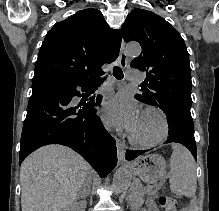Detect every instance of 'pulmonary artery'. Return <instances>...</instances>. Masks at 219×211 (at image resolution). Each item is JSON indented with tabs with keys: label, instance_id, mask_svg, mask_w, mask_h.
I'll return each instance as SVG.
<instances>
[{
	"label": "pulmonary artery",
	"instance_id": "1",
	"mask_svg": "<svg viewBox=\"0 0 219 211\" xmlns=\"http://www.w3.org/2000/svg\"><path fill=\"white\" fill-rule=\"evenodd\" d=\"M128 74H139V69H128ZM129 80H141L142 76L141 75H129ZM113 90L112 85L110 84H105L99 89V93L101 94H106L110 91Z\"/></svg>",
	"mask_w": 219,
	"mask_h": 211
}]
</instances>
